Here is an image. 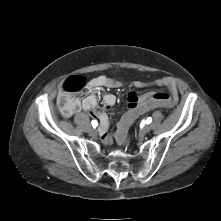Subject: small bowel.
I'll return each instance as SVG.
<instances>
[{"label": "small bowel", "mask_w": 221, "mask_h": 221, "mask_svg": "<svg viewBox=\"0 0 221 221\" xmlns=\"http://www.w3.org/2000/svg\"><path fill=\"white\" fill-rule=\"evenodd\" d=\"M158 86L166 87L169 91L167 97L173 102L178 99V87L176 81L171 77H163L155 81ZM145 85L142 81H136L135 86L143 87ZM121 83L110 77L101 75L93 78L88 85V92L82 99L75 96H71L69 99V113L67 116H71L74 112L84 111L89 113L92 117L98 119L99 121V134L102 141L106 144L112 143L113 139L117 140V133L114 136L110 135L109 130V110L114 106L116 102V97L112 93L104 92L102 95L104 110H97L98 99L95 91L100 88H117L120 87ZM63 94L60 93L59 97ZM152 93L150 91L142 92H130L128 95V108L133 105H140L146 100L152 98ZM58 97V98H59ZM139 117V116H138ZM133 122L130 123V125Z\"/></svg>", "instance_id": "small-bowel-1"}]
</instances>
